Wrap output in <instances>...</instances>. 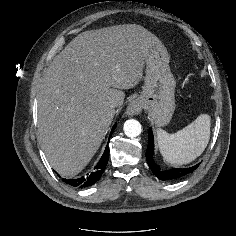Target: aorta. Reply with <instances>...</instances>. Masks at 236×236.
<instances>
[{
    "label": "aorta",
    "instance_id": "obj_1",
    "mask_svg": "<svg viewBox=\"0 0 236 236\" xmlns=\"http://www.w3.org/2000/svg\"><path fill=\"white\" fill-rule=\"evenodd\" d=\"M124 133L126 136L134 138L141 134V124L135 119H129L124 123Z\"/></svg>",
    "mask_w": 236,
    "mask_h": 236
}]
</instances>
